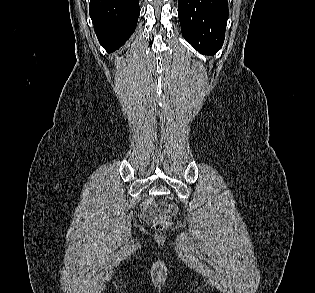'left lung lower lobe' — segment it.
Here are the masks:
<instances>
[{
    "mask_svg": "<svg viewBox=\"0 0 315 293\" xmlns=\"http://www.w3.org/2000/svg\"><path fill=\"white\" fill-rule=\"evenodd\" d=\"M178 16L183 37L196 50H219L225 38L227 0H178Z\"/></svg>",
    "mask_w": 315,
    "mask_h": 293,
    "instance_id": "obj_1",
    "label": "left lung lower lobe"
}]
</instances>
